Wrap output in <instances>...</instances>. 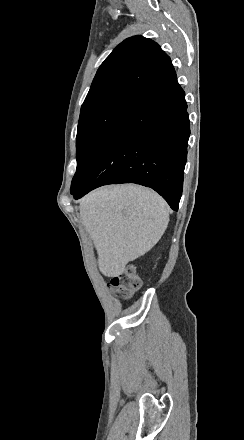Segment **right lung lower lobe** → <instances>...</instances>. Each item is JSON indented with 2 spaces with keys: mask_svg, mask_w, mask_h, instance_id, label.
<instances>
[{
  "mask_svg": "<svg viewBox=\"0 0 244 440\" xmlns=\"http://www.w3.org/2000/svg\"><path fill=\"white\" fill-rule=\"evenodd\" d=\"M186 109L175 74L117 123L71 185V194L78 199L102 185L136 183L151 187L177 210L190 135Z\"/></svg>",
  "mask_w": 244,
  "mask_h": 440,
  "instance_id": "right-lung-lower-lobe-1",
  "label": "right lung lower lobe"
}]
</instances>
